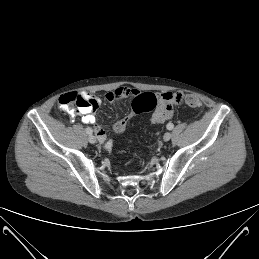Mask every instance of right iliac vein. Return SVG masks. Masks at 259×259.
Here are the masks:
<instances>
[{"mask_svg":"<svg viewBox=\"0 0 259 259\" xmlns=\"http://www.w3.org/2000/svg\"><path fill=\"white\" fill-rule=\"evenodd\" d=\"M88 141L91 143V144H95L96 143V138L94 135L92 134H89L88 136Z\"/></svg>","mask_w":259,"mask_h":259,"instance_id":"1","label":"right iliac vein"}]
</instances>
